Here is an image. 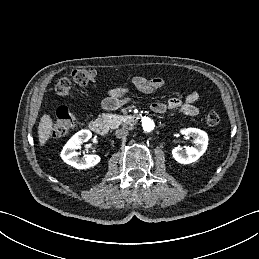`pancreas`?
Instances as JSON below:
<instances>
[{"mask_svg": "<svg viewBox=\"0 0 259 259\" xmlns=\"http://www.w3.org/2000/svg\"><path fill=\"white\" fill-rule=\"evenodd\" d=\"M102 120L111 128L115 129L122 123L131 124L132 118L129 116H122L116 114H103Z\"/></svg>", "mask_w": 259, "mask_h": 259, "instance_id": "cf45deb5", "label": "pancreas"}]
</instances>
